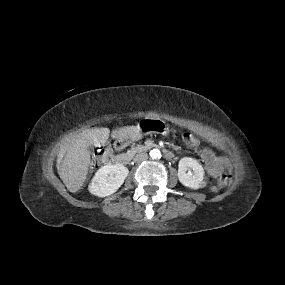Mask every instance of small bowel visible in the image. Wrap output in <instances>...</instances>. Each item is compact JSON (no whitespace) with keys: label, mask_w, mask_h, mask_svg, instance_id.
I'll return each instance as SVG.
<instances>
[{"label":"small bowel","mask_w":285,"mask_h":285,"mask_svg":"<svg viewBox=\"0 0 285 285\" xmlns=\"http://www.w3.org/2000/svg\"><path fill=\"white\" fill-rule=\"evenodd\" d=\"M201 159L204 163L207 173L211 177H217L224 172L230 171L229 163L222 157L217 156L209 149H203Z\"/></svg>","instance_id":"small-bowel-1"}]
</instances>
